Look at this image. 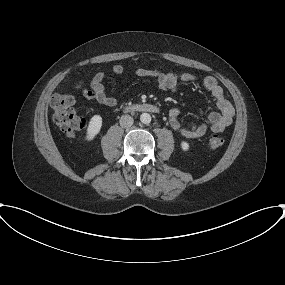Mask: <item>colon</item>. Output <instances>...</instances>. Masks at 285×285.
<instances>
[{
	"instance_id": "1",
	"label": "colon",
	"mask_w": 285,
	"mask_h": 285,
	"mask_svg": "<svg viewBox=\"0 0 285 285\" xmlns=\"http://www.w3.org/2000/svg\"><path fill=\"white\" fill-rule=\"evenodd\" d=\"M74 97L70 94H55L52 96L50 105L53 109V120L59 129L67 136L74 137L85 128V120L74 108ZM224 140L218 134H213L208 139L211 149H218Z\"/></svg>"
}]
</instances>
